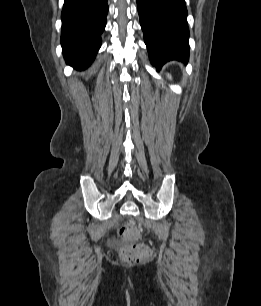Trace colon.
Instances as JSON below:
<instances>
[{"label":"colon","mask_w":261,"mask_h":306,"mask_svg":"<svg viewBox=\"0 0 261 306\" xmlns=\"http://www.w3.org/2000/svg\"><path fill=\"white\" fill-rule=\"evenodd\" d=\"M120 236L124 241V245L120 250V256L124 261L139 263L145 261L149 257V249L135 243L138 236V230L132 224H126L120 229Z\"/></svg>","instance_id":"obj_1"}]
</instances>
